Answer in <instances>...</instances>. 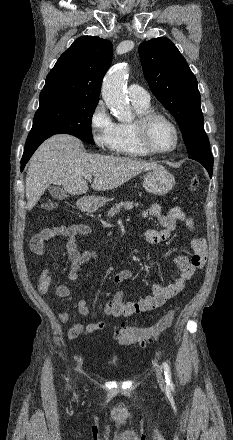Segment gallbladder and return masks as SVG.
<instances>
[{"label": "gallbladder", "mask_w": 233, "mask_h": 440, "mask_svg": "<svg viewBox=\"0 0 233 440\" xmlns=\"http://www.w3.org/2000/svg\"><path fill=\"white\" fill-rule=\"evenodd\" d=\"M48 190L52 197L57 200H63L67 197V192L58 186H50Z\"/></svg>", "instance_id": "bac80fb5"}]
</instances>
